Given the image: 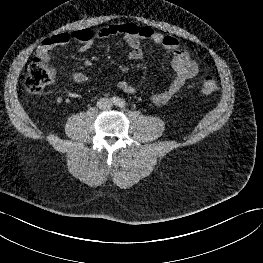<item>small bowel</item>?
<instances>
[{"label":"small bowel","instance_id":"obj_1","mask_svg":"<svg viewBox=\"0 0 263 263\" xmlns=\"http://www.w3.org/2000/svg\"><path fill=\"white\" fill-rule=\"evenodd\" d=\"M112 36H120L125 40L129 48L128 56L131 60L143 58L144 52L141 47L143 40L162 46L172 55L171 65L174 71V78L165 89L151 94V101L155 105L166 104L182 88L186 81L198 73V64L192 59L186 49L181 48L179 41L175 37L163 35L150 27L139 26L134 23L111 24L96 32L90 29H81L69 33H58L45 38L39 45L37 54L44 62H48L51 59V51L55 47L76 41L81 44V51H87L96 40ZM69 75L78 84H83L87 81L86 75L81 71L72 70L69 72ZM117 86L125 93L135 94L138 92L135 86L125 80L119 81Z\"/></svg>","mask_w":263,"mask_h":263}]
</instances>
